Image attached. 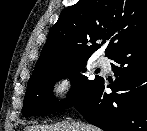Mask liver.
<instances>
[{
	"instance_id": "obj_1",
	"label": "liver",
	"mask_w": 147,
	"mask_h": 131,
	"mask_svg": "<svg viewBox=\"0 0 147 131\" xmlns=\"http://www.w3.org/2000/svg\"><path fill=\"white\" fill-rule=\"evenodd\" d=\"M24 131H100L98 128L79 122H60L53 125L27 126Z\"/></svg>"
}]
</instances>
